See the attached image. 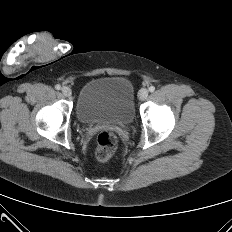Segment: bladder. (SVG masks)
<instances>
[{"label": "bladder", "mask_w": 232, "mask_h": 232, "mask_svg": "<svg viewBox=\"0 0 232 232\" xmlns=\"http://www.w3.org/2000/svg\"><path fill=\"white\" fill-rule=\"evenodd\" d=\"M76 116L82 123H131L135 117L132 83L122 76L101 77L88 81L79 91Z\"/></svg>", "instance_id": "1"}]
</instances>
